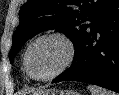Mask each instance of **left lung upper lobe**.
I'll return each instance as SVG.
<instances>
[{
  "label": "left lung upper lobe",
  "mask_w": 119,
  "mask_h": 95,
  "mask_svg": "<svg viewBox=\"0 0 119 95\" xmlns=\"http://www.w3.org/2000/svg\"><path fill=\"white\" fill-rule=\"evenodd\" d=\"M110 0H28L20 9V24L13 34L10 62L36 34L50 29L63 32L74 43L75 50L86 36L95 16Z\"/></svg>",
  "instance_id": "5c2ea615"
}]
</instances>
